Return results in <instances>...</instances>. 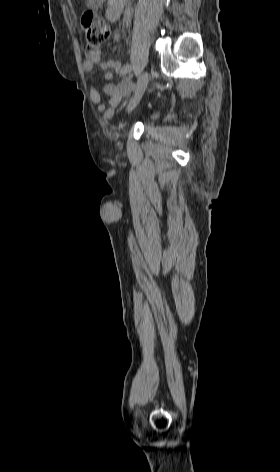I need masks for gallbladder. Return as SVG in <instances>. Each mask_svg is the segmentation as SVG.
Wrapping results in <instances>:
<instances>
[{"instance_id":"obj_1","label":"gallbladder","mask_w":280,"mask_h":472,"mask_svg":"<svg viewBox=\"0 0 280 472\" xmlns=\"http://www.w3.org/2000/svg\"><path fill=\"white\" fill-rule=\"evenodd\" d=\"M105 0H86V5L90 9H98Z\"/></svg>"}]
</instances>
